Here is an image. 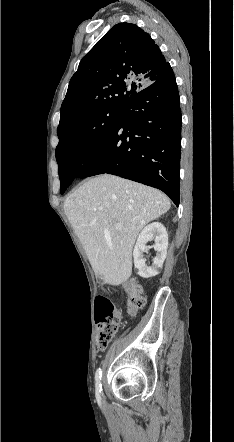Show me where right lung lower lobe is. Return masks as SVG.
<instances>
[{"label":"right lung lower lobe","instance_id":"1","mask_svg":"<svg viewBox=\"0 0 234 442\" xmlns=\"http://www.w3.org/2000/svg\"><path fill=\"white\" fill-rule=\"evenodd\" d=\"M180 99L167 65L156 81L121 106L105 140L79 164L75 177L103 173L158 188L179 205Z\"/></svg>","mask_w":234,"mask_h":442}]
</instances>
